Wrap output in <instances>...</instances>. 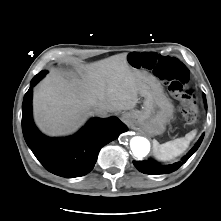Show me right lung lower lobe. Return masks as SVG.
I'll return each instance as SVG.
<instances>
[{"label":"right lung lower lobe","instance_id":"obj_1","mask_svg":"<svg viewBox=\"0 0 221 221\" xmlns=\"http://www.w3.org/2000/svg\"><path fill=\"white\" fill-rule=\"evenodd\" d=\"M47 71H41L31 81L22 105V130L27 145L40 163L51 173L73 178L89 173L100 149L127 131L116 117L91 119L78 133L66 138H49L34 125L32 119V87Z\"/></svg>","mask_w":221,"mask_h":221}]
</instances>
